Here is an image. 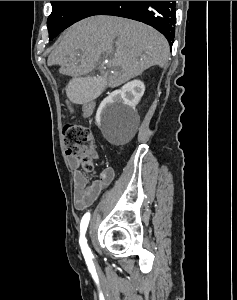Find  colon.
Here are the masks:
<instances>
[{
  "mask_svg": "<svg viewBox=\"0 0 237 300\" xmlns=\"http://www.w3.org/2000/svg\"><path fill=\"white\" fill-rule=\"evenodd\" d=\"M68 108L72 111L69 103ZM63 139L66 153L80 156L83 170L92 172L94 166L91 158L87 156V151L92 147V133L90 129L75 122L67 123L63 129Z\"/></svg>",
  "mask_w": 237,
  "mask_h": 300,
  "instance_id": "colon-1",
  "label": "colon"
}]
</instances>
